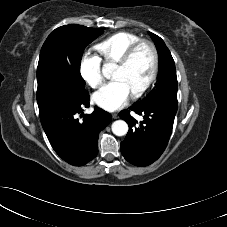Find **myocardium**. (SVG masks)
I'll return each mask as SVG.
<instances>
[{
	"label": "myocardium",
	"instance_id": "1",
	"mask_svg": "<svg viewBox=\"0 0 227 227\" xmlns=\"http://www.w3.org/2000/svg\"><path fill=\"white\" fill-rule=\"evenodd\" d=\"M142 46H147L152 54V69L150 76L148 77L147 81L143 84L141 88H139L136 92L132 93L131 96L133 99H138L142 97L154 84L158 72H159V53L155 46V44L147 39H140L137 42L133 43L123 54V56L117 61V66L120 68H124L129 65L132 61L136 52Z\"/></svg>",
	"mask_w": 227,
	"mask_h": 227
}]
</instances>
